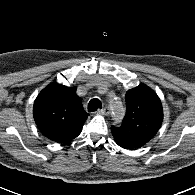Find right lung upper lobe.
I'll return each instance as SVG.
<instances>
[{
	"label": "right lung upper lobe",
	"mask_w": 195,
	"mask_h": 195,
	"mask_svg": "<svg viewBox=\"0 0 195 195\" xmlns=\"http://www.w3.org/2000/svg\"><path fill=\"white\" fill-rule=\"evenodd\" d=\"M87 116L75 90L63 85L47 86L34 104L39 129L49 139L60 143L75 138Z\"/></svg>",
	"instance_id": "1"
}]
</instances>
